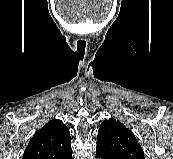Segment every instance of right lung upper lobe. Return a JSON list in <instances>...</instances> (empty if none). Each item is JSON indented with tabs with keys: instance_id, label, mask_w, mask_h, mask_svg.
<instances>
[{
	"instance_id": "obj_1",
	"label": "right lung upper lobe",
	"mask_w": 173,
	"mask_h": 159,
	"mask_svg": "<svg viewBox=\"0 0 173 159\" xmlns=\"http://www.w3.org/2000/svg\"><path fill=\"white\" fill-rule=\"evenodd\" d=\"M71 152L69 129L61 120L54 119L34 134L23 159H62Z\"/></svg>"
}]
</instances>
